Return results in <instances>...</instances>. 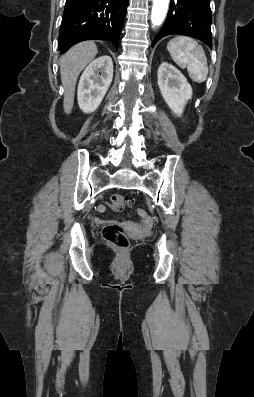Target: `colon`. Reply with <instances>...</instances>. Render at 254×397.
<instances>
[{
    "mask_svg": "<svg viewBox=\"0 0 254 397\" xmlns=\"http://www.w3.org/2000/svg\"><path fill=\"white\" fill-rule=\"evenodd\" d=\"M134 200L130 196L122 194L111 195V206L115 210H122L126 207H132ZM105 240L117 249H127L130 246V238L124 229L116 224L107 225L103 230Z\"/></svg>",
    "mask_w": 254,
    "mask_h": 397,
    "instance_id": "colon-1",
    "label": "colon"
}]
</instances>
